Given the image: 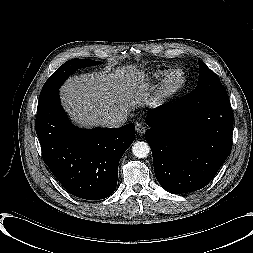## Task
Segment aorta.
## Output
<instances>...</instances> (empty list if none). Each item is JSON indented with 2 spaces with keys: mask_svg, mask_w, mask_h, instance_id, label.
<instances>
[{
  "mask_svg": "<svg viewBox=\"0 0 253 253\" xmlns=\"http://www.w3.org/2000/svg\"><path fill=\"white\" fill-rule=\"evenodd\" d=\"M133 155L137 158H145L150 152L149 145L144 141H137L132 146Z\"/></svg>",
  "mask_w": 253,
  "mask_h": 253,
  "instance_id": "1",
  "label": "aorta"
}]
</instances>
